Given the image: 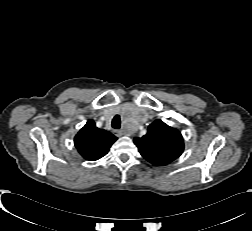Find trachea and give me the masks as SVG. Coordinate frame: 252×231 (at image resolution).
I'll list each match as a JSON object with an SVG mask.
<instances>
[{"instance_id": "3493384b", "label": "trachea", "mask_w": 252, "mask_h": 231, "mask_svg": "<svg viewBox=\"0 0 252 231\" xmlns=\"http://www.w3.org/2000/svg\"><path fill=\"white\" fill-rule=\"evenodd\" d=\"M112 127L114 129H119L121 127V119L119 115H116L112 120Z\"/></svg>"}]
</instances>
